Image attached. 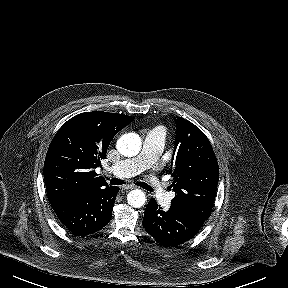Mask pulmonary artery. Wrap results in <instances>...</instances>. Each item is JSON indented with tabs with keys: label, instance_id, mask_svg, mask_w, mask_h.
Masks as SVG:
<instances>
[{
	"label": "pulmonary artery",
	"instance_id": "e3ab8cb5",
	"mask_svg": "<svg viewBox=\"0 0 288 288\" xmlns=\"http://www.w3.org/2000/svg\"><path fill=\"white\" fill-rule=\"evenodd\" d=\"M165 144V132L157 127L147 132L143 147L139 155L134 158L114 163L110 172L117 177L135 176L151 167L159 158ZM149 185L154 190L157 201L162 206H169L173 194L165 187V183L158 177L149 178Z\"/></svg>",
	"mask_w": 288,
	"mask_h": 288
}]
</instances>
